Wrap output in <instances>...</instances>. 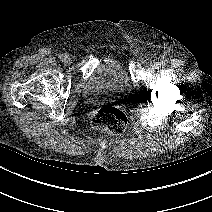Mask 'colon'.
<instances>
[{"mask_svg": "<svg viewBox=\"0 0 212 212\" xmlns=\"http://www.w3.org/2000/svg\"><path fill=\"white\" fill-rule=\"evenodd\" d=\"M127 123L128 118L125 113L112 106L100 108L91 118V125L94 129L114 134L123 132Z\"/></svg>", "mask_w": 212, "mask_h": 212, "instance_id": "5ec220e1", "label": "colon"}]
</instances>
